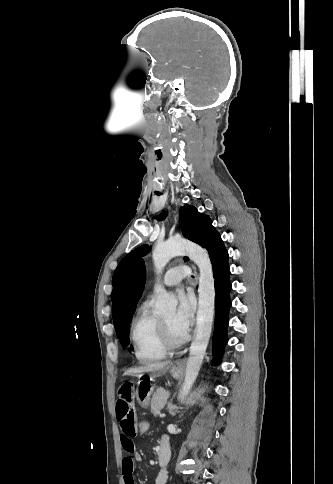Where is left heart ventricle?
<instances>
[{"label": "left heart ventricle", "instance_id": "obj_1", "mask_svg": "<svg viewBox=\"0 0 333 484\" xmlns=\"http://www.w3.org/2000/svg\"><path fill=\"white\" fill-rule=\"evenodd\" d=\"M161 319L166 323L171 335L175 338L181 337L183 333L177 330V328L174 325V312L171 311L163 316H161Z\"/></svg>", "mask_w": 333, "mask_h": 484}]
</instances>
